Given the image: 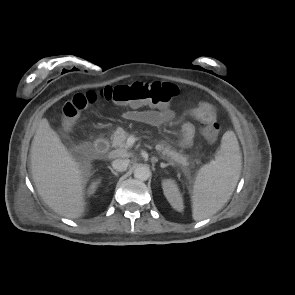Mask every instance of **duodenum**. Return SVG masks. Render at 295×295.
Returning <instances> with one entry per match:
<instances>
[{"mask_svg":"<svg viewBox=\"0 0 295 295\" xmlns=\"http://www.w3.org/2000/svg\"><path fill=\"white\" fill-rule=\"evenodd\" d=\"M94 151L99 154L103 155L107 153L109 149V140L106 137H100L98 138L93 145Z\"/></svg>","mask_w":295,"mask_h":295,"instance_id":"410a0bca","label":"duodenum"}]
</instances>
